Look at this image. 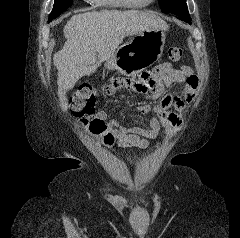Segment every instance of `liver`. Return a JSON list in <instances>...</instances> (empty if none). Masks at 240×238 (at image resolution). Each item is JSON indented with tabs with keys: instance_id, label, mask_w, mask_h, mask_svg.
<instances>
[{
	"instance_id": "1",
	"label": "liver",
	"mask_w": 240,
	"mask_h": 238,
	"mask_svg": "<svg viewBox=\"0 0 240 238\" xmlns=\"http://www.w3.org/2000/svg\"><path fill=\"white\" fill-rule=\"evenodd\" d=\"M150 29L166 31L168 25L148 11L102 10L73 15L64 27L67 41L53 57L62 110L68 109L67 91L82 76L94 73L103 61L112 57L126 36Z\"/></svg>"
}]
</instances>
